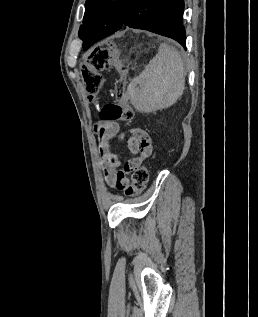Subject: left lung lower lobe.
Wrapping results in <instances>:
<instances>
[{
  "label": "left lung lower lobe",
  "mask_w": 258,
  "mask_h": 317,
  "mask_svg": "<svg viewBox=\"0 0 258 317\" xmlns=\"http://www.w3.org/2000/svg\"><path fill=\"white\" fill-rule=\"evenodd\" d=\"M184 0H132L121 27H98L84 38L83 48L87 50L95 42L113 34L120 28L130 27L147 30L176 40L186 49V33L182 24Z\"/></svg>",
  "instance_id": "0a47b994"
}]
</instances>
